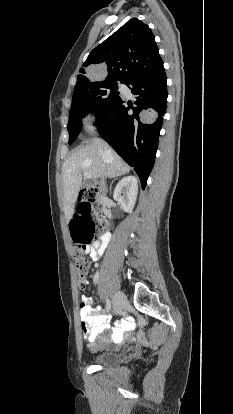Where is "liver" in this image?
Listing matches in <instances>:
<instances>
[{
    "mask_svg": "<svg viewBox=\"0 0 233 414\" xmlns=\"http://www.w3.org/2000/svg\"><path fill=\"white\" fill-rule=\"evenodd\" d=\"M130 171V167L102 139L92 137L72 154L62 166L64 214L69 221L82 186V179L115 178ZM89 176V177H88Z\"/></svg>",
    "mask_w": 233,
    "mask_h": 414,
    "instance_id": "obj_1",
    "label": "liver"
}]
</instances>
